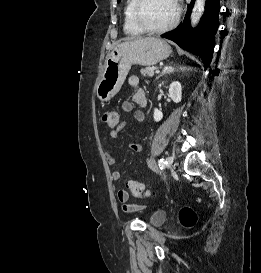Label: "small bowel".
I'll return each instance as SVG.
<instances>
[{
    "label": "small bowel",
    "mask_w": 261,
    "mask_h": 273,
    "mask_svg": "<svg viewBox=\"0 0 261 273\" xmlns=\"http://www.w3.org/2000/svg\"><path fill=\"white\" fill-rule=\"evenodd\" d=\"M128 84L131 87H137L139 85V78L134 75L129 76ZM133 101L136 104H138L139 106H145L147 99H146V95H145L144 91L137 90L133 95ZM132 108H133V106H132L131 102H129V101L123 102V104H122L123 111L130 112V111H132ZM133 118L136 122L142 123L145 119L143 111H141V110L134 111ZM124 127H125V123L124 122L120 123L115 130L110 131L109 139L116 140L119 136L120 131ZM129 147L133 152H140L142 150V145L138 142H131L129 144ZM107 159H108L109 164H111V165L115 164V162H116L115 158L110 153H107ZM111 178L114 181L119 180L121 178L120 171H118V170L112 171ZM117 196H118V200L122 203V209L125 212H135V211H138L143 208L140 205L128 204L127 202L129 200V194L125 190H119L117 193Z\"/></svg>",
    "instance_id": "small-bowel-1"
}]
</instances>
